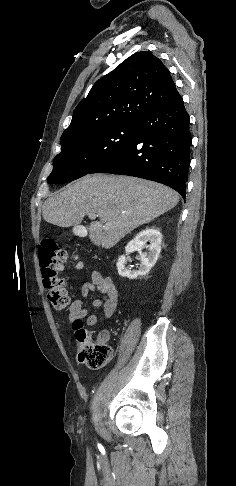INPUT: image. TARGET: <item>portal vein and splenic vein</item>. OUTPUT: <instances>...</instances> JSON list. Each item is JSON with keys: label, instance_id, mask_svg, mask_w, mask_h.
<instances>
[{"label": "portal vein and splenic vein", "instance_id": "1", "mask_svg": "<svg viewBox=\"0 0 236 486\" xmlns=\"http://www.w3.org/2000/svg\"><path fill=\"white\" fill-rule=\"evenodd\" d=\"M88 217H89L90 219H95L96 217H98V215L93 214V213H89V214H88Z\"/></svg>", "mask_w": 236, "mask_h": 486}]
</instances>
